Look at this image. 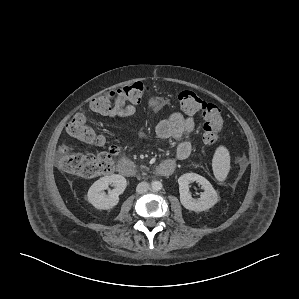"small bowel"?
I'll return each instance as SVG.
<instances>
[{
  "instance_id": "small-bowel-1",
  "label": "small bowel",
  "mask_w": 299,
  "mask_h": 299,
  "mask_svg": "<svg viewBox=\"0 0 299 299\" xmlns=\"http://www.w3.org/2000/svg\"><path fill=\"white\" fill-rule=\"evenodd\" d=\"M135 103L117 101L113 109L106 114L109 119L115 117H129L135 114ZM195 131V120L192 116H184L180 113H173L167 119L161 121L156 127V134L161 139L173 138L179 143L176 148V158L185 160L191 155V145L184 140V137Z\"/></svg>"
}]
</instances>
